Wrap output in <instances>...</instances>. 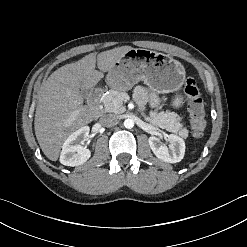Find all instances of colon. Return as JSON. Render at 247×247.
I'll use <instances>...</instances> for the list:
<instances>
[{"label": "colon", "mask_w": 247, "mask_h": 247, "mask_svg": "<svg viewBox=\"0 0 247 247\" xmlns=\"http://www.w3.org/2000/svg\"><path fill=\"white\" fill-rule=\"evenodd\" d=\"M183 92L190 114L192 134L195 137H201L206 128L205 108L203 99L193 78H187L185 80Z\"/></svg>", "instance_id": "1"}]
</instances>
